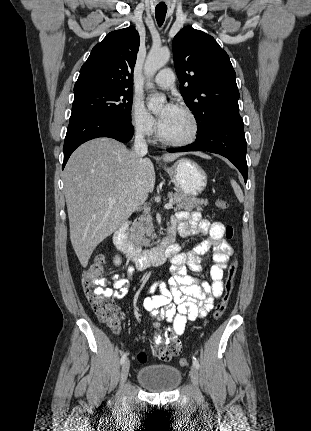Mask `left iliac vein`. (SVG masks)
<instances>
[{
  "label": "left iliac vein",
  "instance_id": "1",
  "mask_svg": "<svg viewBox=\"0 0 311 431\" xmlns=\"http://www.w3.org/2000/svg\"><path fill=\"white\" fill-rule=\"evenodd\" d=\"M190 377H191V381H192L193 385L197 388V386H198V371L194 365H192V367H191Z\"/></svg>",
  "mask_w": 311,
  "mask_h": 431
}]
</instances>
